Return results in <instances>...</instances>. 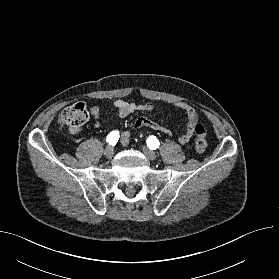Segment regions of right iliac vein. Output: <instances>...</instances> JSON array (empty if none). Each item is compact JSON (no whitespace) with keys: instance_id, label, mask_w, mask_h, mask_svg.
<instances>
[{"instance_id":"obj_1","label":"right iliac vein","mask_w":279,"mask_h":279,"mask_svg":"<svg viewBox=\"0 0 279 279\" xmlns=\"http://www.w3.org/2000/svg\"><path fill=\"white\" fill-rule=\"evenodd\" d=\"M113 154H114V149L112 146H107L104 150V155L105 157L107 158H112L113 157Z\"/></svg>"}]
</instances>
